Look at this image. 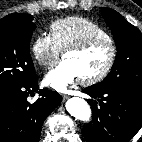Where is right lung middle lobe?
I'll return each mask as SVG.
<instances>
[{"mask_svg": "<svg viewBox=\"0 0 142 142\" xmlns=\"http://www.w3.org/2000/svg\"><path fill=\"white\" fill-rule=\"evenodd\" d=\"M28 14L0 19V94L24 86L36 78L30 41L36 25Z\"/></svg>", "mask_w": 142, "mask_h": 142, "instance_id": "1", "label": "right lung middle lobe"}]
</instances>
